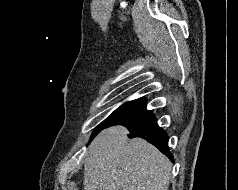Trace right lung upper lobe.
Segmentation results:
<instances>
[{
    "instance_id": "1",
    "label": "right lung upper lobe",
    "mask_w": 238,
    "mask_h": 190,
    "mask_svg": "<svg viewBox=\"0 0 238 190\" xmlns=\"http://www.w3.org/2000/svg\"><path fill=\"white\" fill-rule=\"evenodd\" d=\"M137 100H141V101H145L146 102V99H144V98H140V99H137Z\"/></svg>"
}]
</instances>
